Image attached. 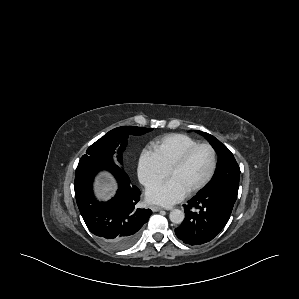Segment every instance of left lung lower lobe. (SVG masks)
<instances>
[{
    "mask_svg": "<svg viewBox=\"0 0 299 299\" xmlns=\"http://www.w3.org/2000/svg\"><path fill=\"white\" fill-rule=\"evenodd\" d=\"M236 199L223 190L198 193L184 205L185 219L175 229L176 236L190 245L211 241L228 222Z\"/></svg>",
    "mask_w": 299,
    "mask_h": 299,
    "instance_id": "1",
    "label": "left lung lower lobe"
}]
</instances>
